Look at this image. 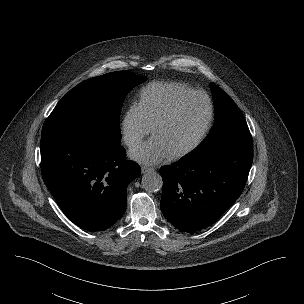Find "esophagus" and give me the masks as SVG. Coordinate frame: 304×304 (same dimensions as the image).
Masks as SVG:
<instances>
[{
    "label": "esophagus",
    "instance_id": "obj_1",
    "mask_svg": "<svg viewBox=\"0 0 304 304\" xmlns=\"http://www.w3.org/2000/svg\"><path fill=\"white\" fill-rule=\"evenodd\" d=\"M154 170V168H152V167H148V166H142L141 167V172L142 173H147V172H150V171H153Z\"/></svg>",
    "mask_w": 304,
    "mask_h": 304
}]
</instances>
